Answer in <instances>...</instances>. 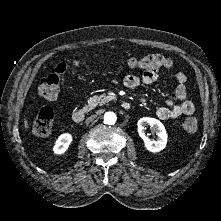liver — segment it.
I'll list each match as a JSON object with an SVG mask.
<instances>
[{"instance_id":"obj_1","label":"liver","mask_w":221,"mask_h":221,"mask_svg":"<svg viewBox=\"0 0 221 221\" xmlns=\"http://www.w3.org/2000/svg\"><path fill=\"white\" fill-rule=\"evenodd\" d=\"M24 127L25 129H28L29 127L27 118L24 119Z\"/></svg>"}]
</instances>
